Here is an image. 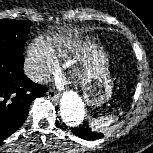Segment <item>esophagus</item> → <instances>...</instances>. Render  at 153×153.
<instances>
[{"mask_svg": "<svg viewBox=\"0 0 153 153\" xmlns=\"http://www.w3.org/2000/svg\"><path fill=\"white\" fill-rule=\"evenodd\" d=\"M46 94L48 98H50L53 101H58L60 97L59 93L55 92L54 90H48Z\"/></svg>", "mask_w": 153, "mask_h": 153, "instance_id": "1", "label": "esophagus"}]
</instances>
